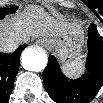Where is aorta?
<instances>
[{"mask_svg": "<svg viewBox=\"0 0 103 103\" xmlns=\"http://www.w3.org/2000/svg\"><path fill=\"white\" fill-rule=\"evenodd\" d=\"M47 54L35 48H27L22 53V66L29 71L39 72L46 67Z\"/></svg>", "mask_w": 103, "mask_h": 103, "instance_id": "aorta-1", "label": "aorta"}]
</instances>
